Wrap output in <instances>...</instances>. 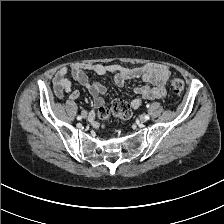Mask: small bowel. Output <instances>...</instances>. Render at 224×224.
<instances>
[{
    "label": "small bowel",
    "mask_w": 224,
    "mask_h": 224,
    "mask_svg": "<svg viewBox=\"0 0 224 224\" xmlns=\"http://www.w3.org/2000/svg\"><path fill=\"white\" fill-rule=\"evenodd\" d=\"M88 70L100 76L107 73L114 74L115 84L119 87L124 86L129 79H141L146 82L147 84L133 89L137 96L129 102L131 109L140 108L143 100L161 99L166 96L165 84L169 78L170 69L165 65L155 63L138 67H126L118 64L78 63L70 67H62L53 79L55 95L62 98L64 94H69L73 100L79 97V91L72 90L71 81L67 78L68 73H71L74 80L84 86L92 95L94 106L96 108L102 106L106 87L98 81H91L86 74Z\"/></svg>",
    "instance_id": "obj_1"
}]
</instances>
